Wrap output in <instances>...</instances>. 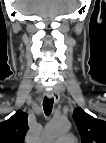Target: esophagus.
I'll list each match as a JSON object with an SVG mask.
<instances>
[{
	"mask_svg": "<svg viewBox=\"0 0 106 143\" xmlns=\"http://www.w3.org/2000/svg\"><path fill=\"white\" fill-rule=\"evenodd\" d=\"M47 97H48L49 99H53L56 104L58 103L59 98H60L59 95L56 94V93L53 92V91H49V92L47 93Z\"/></svg>",
	"mask_w": 106,
	"mask_h": 143,
	"instance_id": "1",
	"label": "esophagus"
}]
</instances>
